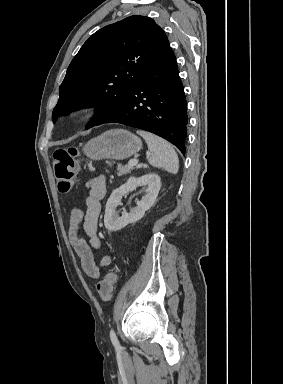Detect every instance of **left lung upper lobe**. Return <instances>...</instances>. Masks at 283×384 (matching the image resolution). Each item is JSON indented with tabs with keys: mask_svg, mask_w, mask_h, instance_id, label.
<instances>
[{
	"mask_svg": "<svg viewBox=\"0 0 283 384\" xmlns=\"http://www.w3.org/2000/svg\"><path fill=\"white\" fill-rule=\"evenodd\" d=\"M168 38L155 21L134 15L95 32L70 63L59 87L58 116L96 107L86 129L96 126L127 101L137 81L162 57Z\"/></svg>",
	"mask_w": 283,
	"mask_h": 384,
	"instance_id": "5c2ea615",
	"label": "left lung upper lobe"
}]
</instances>
